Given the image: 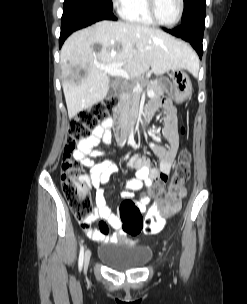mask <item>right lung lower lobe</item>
Returning a JSON list of instances; mask_svg holds the SVG:
<instances>
[{"label":"right lung lower lobe","instance_id":"obj_1","mask_svg":"<svg viewBox=\"0 0 247 304\" xmlns=\"http://www.w3.org/2000/svg\"><path fill=\"white\" fill-rule=\"evenodd\" d=\"M59 47L74 31L100 20H117L112 11L97 6H88L75 1L65 0L62 15Z\"/></svg>","mask_w":247,"mask_h":304}]
</instances>
